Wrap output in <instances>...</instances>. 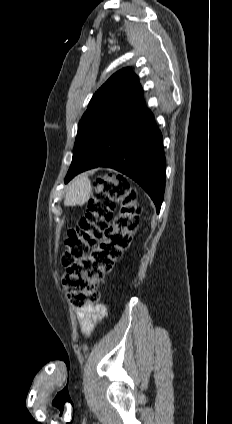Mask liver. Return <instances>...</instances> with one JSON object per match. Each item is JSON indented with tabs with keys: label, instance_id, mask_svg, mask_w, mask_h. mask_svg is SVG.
I'll list each match as a JSON object with an SVG mask.
<instances>
[{
	"label": "liver",
	"instance_id": "liver-1",
	"mask_svg": "<svg viewBox=\"0 0 232 424\" xmlns=\"http://www.w3.org/2000/svg\"><path fill=\"white\" fill-rule=\"evenodd\" d=\"M91 187L86 175L75 177L67 187L64 205L75 206L84 205L90 198Z\"/></svg>",
	"mask_w": 232,
	"mask_h": 424
}]
</instances>
